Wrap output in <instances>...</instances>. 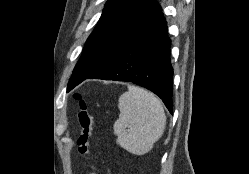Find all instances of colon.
Wrapping results in <instances>:
<instances>
[{"instance_id":"obj_1","label":"colon","mask_w":249,"mask_h":174,"mask_svg":"<svg viewBox=\"0 0 249 174\" xmlns=\"http://www.w3.org/2000/svg\"><path fill=\"white\" fill-rule=\"evenodd\" d=\"M79 100V111L77 114V122L80 129L79 135L77 137V150L78 153L82 156L88 157L90 160L94 161L95 157L90 148V138H91V130H92V122L91 116L86 108V104L76 97ZM93 172H98V167L93 164L92 165Z\"/></svg>"}]
</instances>
